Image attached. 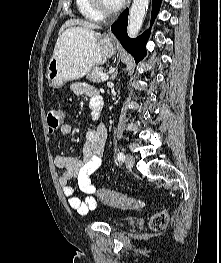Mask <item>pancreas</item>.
<instances>
[{"label": "pancreas", "instance_id": "1", "mask_svg": "<svg viewBox=\"0 0 221 263\" xmlns=\"http://www.w3.org/2000/svg\"><path fill=\"white\" fill-rule=\"evenodd\" d=\"M103 74H105V72H103V69L101 67L96 66L93 67L91 71L87 73L86 78L94 83H100L102 81L100 78Z\"/></svg>", "mask_w": 221, "mask_h": 263}]
</instances>
